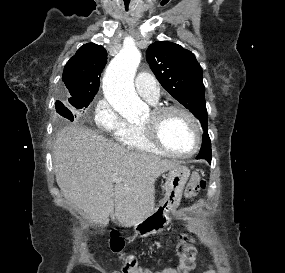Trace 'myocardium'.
Returning <instances> with one entry per match:
<instances>
[{
    "instance_id": "obj_1",
    "label": "myocardium",
    "mask_w": 285,
    "mask_h": 273,
    "mask_svg": "<svg viewBox=\"0 0 285 273\" xmlns=\"http://www.w3.org/2000/svg\"><path fill=\"white\" fill-rule=\"evenodd\" d=\"M170 112H179L185 115L192 123L195 130V144L191 151L187 153H179L169 149L161 140L158 133V120ZM153 122L150 124H141V128L147 140L162 152L178 158H190L197 154L202 144V127L197 117L185 107L180 105H161L151 110Z\"/></svg>"
}]
</instances>
